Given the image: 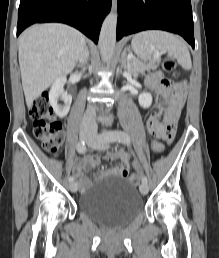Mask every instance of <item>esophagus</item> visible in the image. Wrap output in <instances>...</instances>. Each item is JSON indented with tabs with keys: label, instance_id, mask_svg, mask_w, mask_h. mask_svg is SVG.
Wrapping results in <instances>:
<instances>
[{
	"label": "esophagus",
	"instance_id": "obj_1",
	"mask_svg": "<svg viewBox=\"0 0 219 258\" xmlns=\"http://www.w3.org/2000/svg\"><path fill=\"white\" fill-rule=\"evenodd\" d=\"M117 7V0H112V9L115 10Z\"/></svg>",
	"mask_w": 219,
	"mask_h": 258
}]
</instances>
